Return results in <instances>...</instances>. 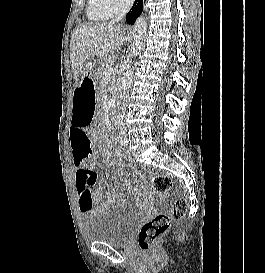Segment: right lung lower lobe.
I'll list each match as a JSON object with an SVG mask.
<instances>
[{
    "label": "right lung lower lobe",
    "mask_w": 265,
    "mask_h": 273,
    "mask_svg": "<svg viewBox=\"0 0 265 273\" xmlns=\"http://www.w3.org/2000/svg\"><path fill=\"white\" fill-rule=\"evenodd\" d=\"M143 11V0H135L134 6L131 11L126 16V22L128 24H133L135 19Z\"/></svg>",
    "instance_id": "1"
}]
</instances>
